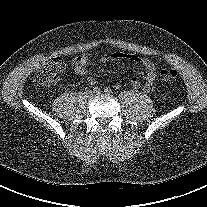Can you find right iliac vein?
<instances>
[{
  "label": "right iliac vein",
  "mask_w": 207,
  "mask_h": 207,
  "mask_svg": "<svg viewBox=\"0 0 207 207\" xmlns=\"http://www.w3.org/2000/svg\"><path fill=\"white\" fill-rule=\"evenodd\" d=\"M86 95L89 97V96H92L93 93H92L91 91H87V92H86Z\"/></svg>",
  "instance_id": "right-iliac-vein-1"
}]
</instances>
